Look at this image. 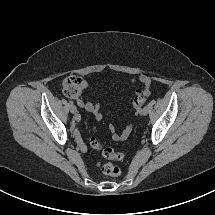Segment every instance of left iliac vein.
Listing matches in <instances>:
<instances>
[{
  "instance_id": "obj_1",
  "label": "left iliac vein",
  "mask_w": 215,
  "mask_h": 215,
  "mask_svg": "<svg viewBox=\"0 0 215 215\" xmlns=\"http://www.w3.org/2000/svg\"><path fill=\"white\" fill-rule=\"evenodd\" d=\"M141 114H142V115H147V114H148V107H147V106H145V107L143 108V111L141 112Z\"/></svg>"
}]
</instances>
